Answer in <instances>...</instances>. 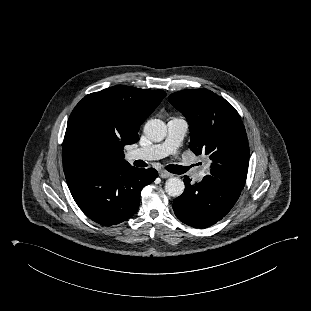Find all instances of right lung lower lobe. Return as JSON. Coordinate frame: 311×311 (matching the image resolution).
Returning <instances> with one entry per match:
<instances>
[{
	"instance_id": "1",
	"label": "right lung lower lobe",
	"mask_w": 311,
	"mask_h": 311,
	"mask_svg": "<svg viewBox=\"0 0 311 311\" xmlns=\"http://www.w3.org/2000/svg\"><path fill=\"white\" fill-rule=\"evenodd\" d=\"M64 173L79 208L103 226L116 225L132 217L138 210L142 188L158 176L153 168L110 163Z\"/></svg>"
}]
</instances>
